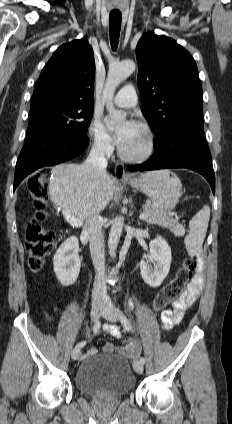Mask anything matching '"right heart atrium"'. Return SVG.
I'll return each instance as SVG.
<instances>
[{
    "label": "right heart atrium",
    "mask_w": 232,
    "mask_h": 424,
    "mask_svg": "<svg viewBox=\"0 0 232 424\" xmlns=\"http://www.w3.org/2000/svg\"><path fill=\"white\" fill-rule=\"evenodd\" d=\"M87 135L95 152L104 156L112 153V137L99 118L94 117L91 119L87 127Z\"/></svg>",
    "instance_id": "d8ad5b80"
}]
</instances>
